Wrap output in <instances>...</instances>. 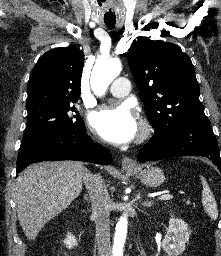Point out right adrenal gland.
Segmentation results:
<instances>
[{"instance_id":"obj_1","label":"right adrenal gland","mask_w":221,"mask_h":256,"mask_svg":"<svg viewBox=\"0 0 221 256\" xmlns=\"http://www.w3.org/2000/svg\"><path fill=\"white\" fill-rule=\"evenodd\" d=\"M84 198H85V200H87V201H88V199H89V198H88V195H86V194L84 195Z\"/></svg>"}]
</instances>
